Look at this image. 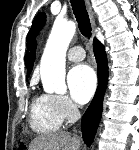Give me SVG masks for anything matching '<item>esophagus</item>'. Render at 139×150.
<instances>
[{"label":"esophagus","instance_id":"1","mask_svg":"<svg viewBox=\"0 0 139 150\" xmlns=\"http://www.w3.org/2000/svg\"><path fill=\"white\" fill-rule=\"evenodd\" d=\"M85 3H86V8H87V11H88V14H89V17H90L92 27L94 29V27H95L94 13L92 11L89 0H85Z\"/></svg>","mask_w":139,"mask_h":150}]
</instances>
